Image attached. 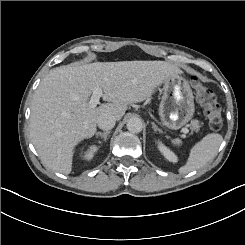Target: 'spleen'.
<instances>
[{"label": "spleen", "mask_w": 245, "mask_h": 245, "mask_svg": "<svg viewBox=\"0 0 245 245\" xmlns=\"http://www.w3.org/2000/svg\"><path fill=\"white\" fill-rule=\"evenodd\" d=\"M223 139L219 134H209L193 148L188 164L180 169L183 174L202 168L217 153Z\"/></svg>", "instance_id": "1"}]
</instances>
